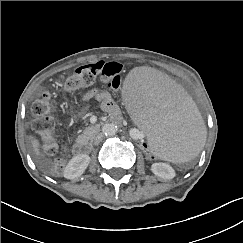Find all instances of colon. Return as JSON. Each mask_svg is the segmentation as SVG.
Listing matches in <instances>:
<instances>
[{
	"instance_id": "colon-1",
	"label": "colon",
	"mask_w": 243,
	"mask_h": 243,
	"mask_svg": "<svg viewBox=\"0 0 243 243\" xmlns=\"http://www.w3.org/2000/svg\"><path fill=\"white\" fill-rule=\"evenodd\" d=\"M97 80L112 89H118L122 82V65L119 62H97L78 67L75 72L65 81V90L74 92L80 88L92 85ZM58 110L56 100L49 93H44L40 99L32 105L33 128L44 137V151L49 157H53V168L59 173L64 162L62 158L56 157L58 144L51 137L55 123L51 114ZM134 146L143 150L146 161L150 164H161L162 158L150 148L146 141L137 140Z\"/></svg>"
}]
</instances>
